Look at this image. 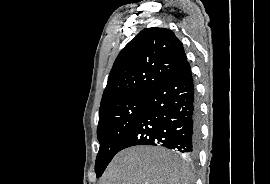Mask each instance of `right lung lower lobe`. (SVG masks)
<instances>
[{"label": "right lung lower lobe", "instance_id": "1", "mask_svg": "<svg viewBox=\"0 0 270 184\" xmlns=\"http://www.w3.org/2000/svg\"><path fill=\"white\" fill-rule=\"evenodd\" d=\"M198 140L199 112L191 68L186 62L147 96L141 114L118 150L161 145L194 156Z\"/></svg>", "mask_w": 270, "mask_h": 184}]
</instances>
